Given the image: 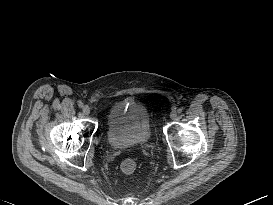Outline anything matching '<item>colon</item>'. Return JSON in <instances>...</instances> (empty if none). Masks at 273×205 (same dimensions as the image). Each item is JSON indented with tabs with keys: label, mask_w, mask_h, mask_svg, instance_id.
<instances>
[{
	"label": "colon",
	"mask_w": 273,
	"mask_h": 205,
	"mask_svg": "<svg viewBox=\"0 0 273 205\" xmlns=\"http://www.w3.org/2000/svg\"><path fill=\"white\" fill-rule=\"evenodd\" d=\"M136 169V163L132 159H126L121 164V170L125 174H132Z\"/></svg>",
	"instance_id": "1"
}]
</instances>
